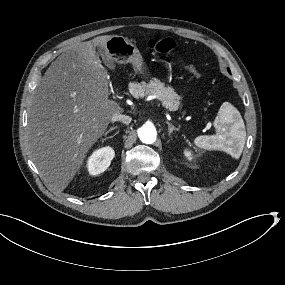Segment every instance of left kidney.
<instances>
[{"instance_id": "5707ae66", "label": "left kidney", "mask_w": 285, "mask_h": 285, "mask_svg": "<svg viewBox=\"0 0 285 285\" xmlns=\"http://www.w3.org/2000/svg\"><path fill=\"white\" fill-rule=\"evenodd\" d=\"M189 158H192L191 155L189 153L186 154Z\"/></svg>"}]
</instances>
